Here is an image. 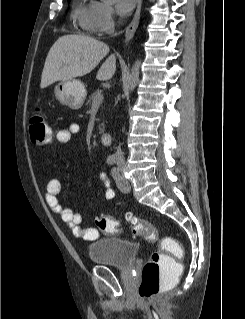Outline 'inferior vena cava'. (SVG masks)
Listing matches in <instances>:
<instances>
[{"label":"inferior vena cava","instance_id":"1","mask_svg":"<svg viewBox=\"0 0 245 319\" xmlns=\"http://www.w3.org/2000/svg\"><path fill=\"white\" fill-rule=\"evenodd\" d=\"M116 159H117L118 164H122L124 162V156H123V153L121 151L120 146L118 147L117 152H116Z\"/></svg>","mask_w":245,"mask_h":319}]
</instances>
